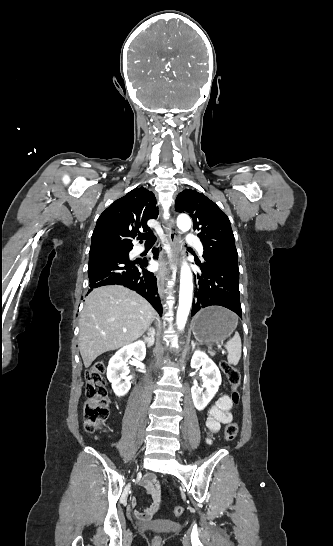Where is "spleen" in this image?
Wrapping results in <instances>:
<instances>
[{
    "instance_id": "3e777b00",
    "label": "spleen",
    "mask_w": 333,
    "mask_h": 546,
    "mask_svg": "<svg viewBox=\"0 0 333 546\" xmlns=\"http://www.w3.org/2000/svg\"><path fill=\"white\" fill-rule=\"evenodd\" d=\"M235 319L238 323V317L236 315ZM225 348L228 351L227 360L230 365L236 366L241 358L242 344L241 338L238 332L226 343Z\"/></svg>"
}]
</instances>
